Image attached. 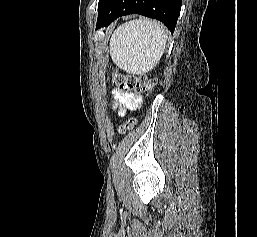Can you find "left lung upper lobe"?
I'll return each mask as SVG.
<instances>
[{"label": "left lung upper lobe", "mask_w": 257, "mask_h": 237, "mask_svg": "<svg viewBox=\"0 0 257 237\" xmlns=\"http://www.w3.org/2000/svg\"><path fill=\"white\" fill-rule=\"evenodd\" d=\"M107 2L108 0H99L98 13H100V11L103 9V7L106 5Z\"/></svg>", "instance_id": "5c2ea615"}]
</instances>
